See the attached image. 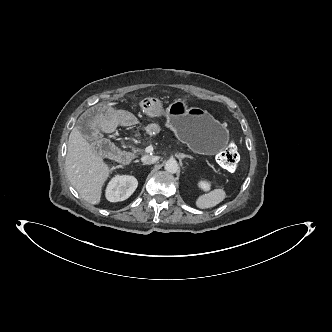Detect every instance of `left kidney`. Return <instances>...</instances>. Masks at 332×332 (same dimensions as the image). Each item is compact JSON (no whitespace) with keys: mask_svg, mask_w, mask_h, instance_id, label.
Wrapping results in <instances>:
<instances>
[{"mask_svg":"<svg viewBox=\"0 0 332 332\" xmlns=\"http://www.w3.org/2000/svg\"><path fill=\"white\" fill-rule=\"evenodd\" d=\"M198 186H199L200 188H202V189H209L210 184H209L208 182H206V181H200V182L198 183Z\"/></svg>","mask_w":332,"mask_h":332,"instance_id":"left-kidney-1","label":"left kidney"}]
</instances>
